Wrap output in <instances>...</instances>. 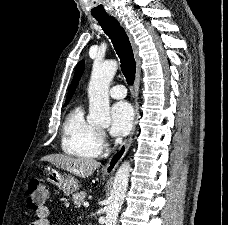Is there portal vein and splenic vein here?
<instances>
[{
	"mask_svg": "<svg viewBox=\"0 0 228 225\" xmlns=\"http://www.w3.org/2000/svg\"><path fill=\"white\" fill-rule=\"evenodd\" d=\"M83 205H85V207H89V203H83Z\"/></svg>",
	"mask_w": 228,
	"mask_h": 225,
	"instance_id": "1",
	"label": "portal vein and splenic vein"
}]
</instances>
